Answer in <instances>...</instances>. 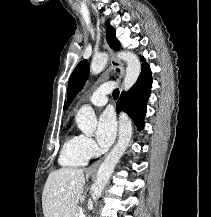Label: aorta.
I'll list each match as a JSON object with an SVG mask.
<instances>
[{
  "label": "aorta",
  "instance_id": "aorta-1",
  "mask_svg": "<svg viewBox=\"0 0 211 217\" xmlns=\"http://www.w3.org/2000/svg\"><path fill=\"white\" fill-rule=\"evenodd\" d=\"M118 58L127 63L126 74L123 79V89L129 90L137 81L141 64L137 56L131 52L122 51L117 54ZM108 56L105 53L96 55L90 65V73L99 74L105 68ZM78 128L86 135H92L97 126V118L94 110L90 106H83L76 115ZM132 136V122L129 116L121 112L119 115V138L117 144L100 165L96 181L93 184L92 199L96 201L102 193V190L108 182L117 162L127 149Z\"/></svg>",
  "mask_w": 211,
  "mask_h": 217
}]
</instances>
